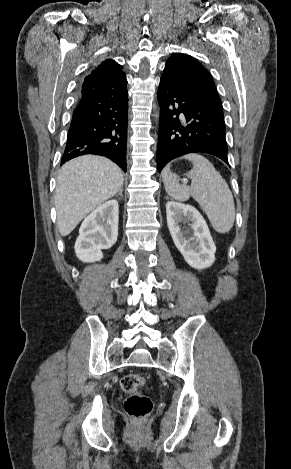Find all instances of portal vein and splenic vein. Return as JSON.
Returning <instances> with one entry per match:
<instances>
[{
    "label": "portal vein and splenic vein",
    "mask_w": 291,
    "mask_h": 469,
    "mask_svg": "<svg viewBox=\"0 0 291 469\" xmlns=\"http://www.w3.org/2000/svg\"><path fill=\"white\" fill-rule=\"evenodd\" d=\"M184 183H187V180H184Z\"/></svg>",
    "instance_id": "obj_1"
}]
</instances>
